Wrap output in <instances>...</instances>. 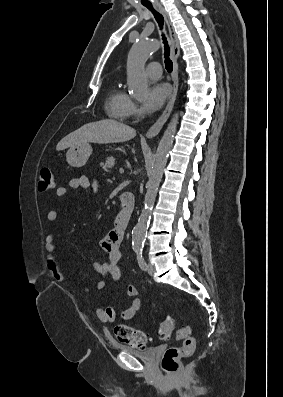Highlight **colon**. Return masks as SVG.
I'll return each mask as SVG.
<instances>
[{
  "instance_id": "obj_1",
  "label": "colon",
  "mask_w": 283,
  "mask_h": 397,
  "mask_svg": "<svg viewBox=\"0 0 283 397\" xmlns=\"http://www.w3.org/2000/svg\"><path fill=\"white\" fill-rule=\"evenodd\" d=\"M54 175L50 168H43L40 171L38 188L40 191H48L54 188ZM175 328V320L168 316L165 318L158 329V335L163 339H169ZM114 336L122 343L136 347L143 348L148 336L141 330L134 329L130 326L119 324L113 328ZM177 338L183 341L181 347L168 348L162 357L161 368L167 375H172L177 372L179 368V361L182 357L193 354L195 350V340L192 336V328L190 325H182L177 331Z\"/></svg>"
}]
</instances>
